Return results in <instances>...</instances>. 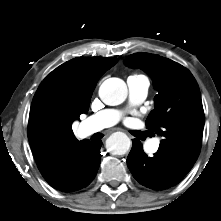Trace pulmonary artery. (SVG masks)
I'll list each match as a JSON object with an SVG mask.
<instances>
[{
	"label": "pulmonary artery",
	"instance_id": "obj_1",
	"mask_svg": "<svg viewBox=\"0 0 221 221\" xmlns=\"http://www.w3.org/2000/svg\"><path fill=\"white\" fill-rule=\"evenodd\" d=\"M150 82L144 75H132L127 78L129 92V103L131 106L142 103L148 94ZM123 116V112L117 109L102 110L87 119L86 131L93 133L118 123ZM159 140H149L144 144V148L149 153L158 150Z\"/></svg>",
	"mask_w": 221,
	"mask_h": 221
}]
</instances>
